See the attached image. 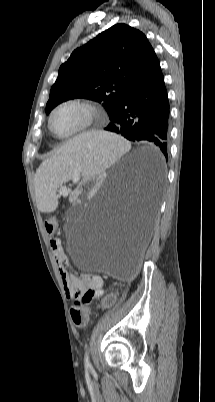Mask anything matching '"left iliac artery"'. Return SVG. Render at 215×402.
Returning <instances> with one entry per match:
<instances>
[{
	"mask_svg": "<svg viewBox=\"0 0 215 402\" xmlns=\"http://www.w3.org/2000/svg\"><path fill=\"white\" fill-rule=\"evenodd\" d=\"M84 362H85V367L86 368H90L91 367V363L89 360V354L88 351H86L85 357H84Z\"/></svg>",
	"mask_w": 215,
	"mask_h": 402,
	"instance_id": "left-iliac-artery-1",
	"label": "left iliac artery"
}]
</instances>
